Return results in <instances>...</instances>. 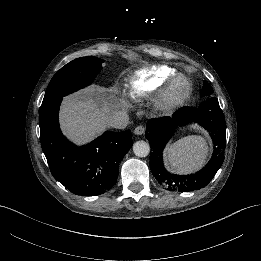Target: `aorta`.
<instances>
[{"label":"aorta","mask_w":261,"mask_h":261,"mask_svg":"<svg viewBox=\"0 0 261 261\" xmlns=\"http://www.w3.org/2000/svg\"><path fill=\"white\" fill-rule=\"evenodd\" d=\"M133 153L140 158L147 157L150 153V146L145 141H137L133 145Z\"/></svg>","instance_id":"aorta-1"}]
</instances>
